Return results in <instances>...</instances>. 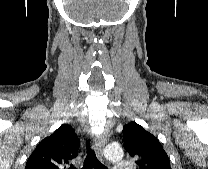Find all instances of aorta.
<instances>
[{"instance_id":"1","label":"aorta","mask_w":208,"mask_h":169,"mask_svg":"<svg viewBox=\"0 0 208 169\" xmlns=\"http://www.w3.org/2000/svg\"><path fill=\"white\" fill-rule=\"evenodd\" d=\"M105 156L110 161H119L123 157V150L120 146L109 145L105 148Z\"/></svg>"}]
</instances>
